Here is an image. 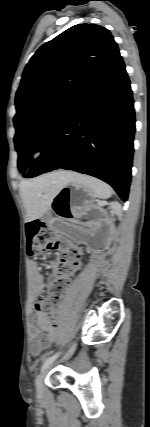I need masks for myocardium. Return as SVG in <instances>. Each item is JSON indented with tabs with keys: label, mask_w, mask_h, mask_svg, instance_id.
Returning a JSON list of instances; mask_svg holds the SVG:
<instances>
[{
	"label": "myocardium",
	"mask_w": 150,
	"mask_h": 427,
	"mask_svg": "<svg viewBox=\"0 0 150 427\" xmlns=\"http://www.w3.org/2000/svg\"><path fill=\"white\" fill-rule=\"evenodd\" d=\"M49 154V150L44 144H34L31 146L26 154V158L30 163H35L40 159L46 157Z\"/></svg>",
	"instance_id": "myocardium-1"
}]
</instances>
